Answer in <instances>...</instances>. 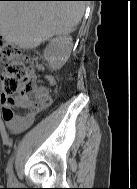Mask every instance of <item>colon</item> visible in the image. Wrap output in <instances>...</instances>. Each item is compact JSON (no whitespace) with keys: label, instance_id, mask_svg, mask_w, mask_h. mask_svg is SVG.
<instances>
[{"label":"colon","instance_id":"obj_1","mask_svg":"<svg viewBox=\"0 0 137 189\" xmlns=\"http://www.w3.org/2000/svg\"><path fill=\"white\" fill-rule=\"evenodd\" d=\"M0 59L6 61L0 79L2 102L14 96H25L29 107L37 109L38 99L34 95L35 83L31 71L38 66V62L23 59L15 46L2 36H0Z\"/></svg>","mask_w":137,"mask_h":189}]
</instances>
